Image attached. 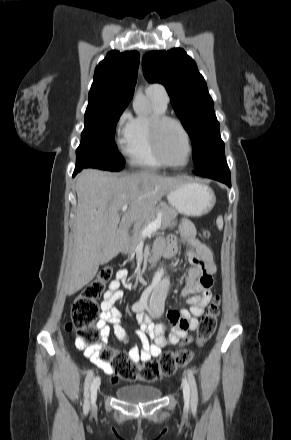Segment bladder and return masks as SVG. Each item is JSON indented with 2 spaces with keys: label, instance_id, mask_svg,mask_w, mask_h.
I'll return each instance as SVG.
<instances>
[{
  "label": "bladder",
  "instance_id": "31cf9c89",
  "mask_svg": "<svg viewBox=\"0 0 291 440\" xmlns=\"http://www.w3.org/2000/svg\"><path fill=\"white\" fill-rule=\"evenodd\" d=\"M161 393L159 387L145 385L123 386L115 392L124 402H151L158 399Z\"/></svg>",
  "mask_w": 291,
  "mask_h": 440
}]
</instances>
